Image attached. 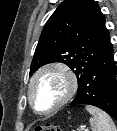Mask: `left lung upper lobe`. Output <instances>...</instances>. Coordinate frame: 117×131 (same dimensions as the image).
<instances>
[{"instance_id": "obj_1", "label": "left lung upper lobe", "mask_w": 117, "mask_h": 131, "mask_svg": "<svg viewBox=\"0 0 117 131\" xmlns=\"http://www.w3.org/2000/svg\"><path fill=\"white\" fill-rule=\"evenodd\" d=\"M111 45L105 18L94 0H65L45 24L30 67L62 62L76 74L78 86Z\"/></svg>"}]
</instances>
